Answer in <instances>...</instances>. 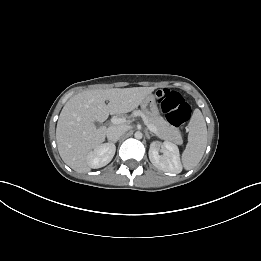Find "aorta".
<instances>
[{
	"label": "aorta",
	"instance_id": "762f6f07",
	"mask_svg": "<svg viewBox=\"0 0 261 261\" xmlns=\"http://www.w3.org/2000/svg\"><path fill=\"white\" fill-rule=\"evenodd\" d=\"M134 136L136 139H141L143 135L140 131H137V132H135Z\"/></svg>",
	"mask_w": 261,
	"mask_h": 261
}]
</instances>
